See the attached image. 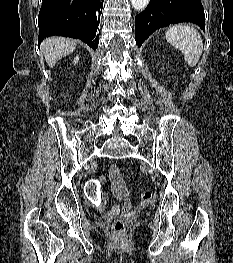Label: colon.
I'll use <instances>...</instances> for the list:
<instances>
[{
	"instance_id": "colon-1",
	"label": "colon",
	"mask_w": 233,
	"mask_h": 263,
	"mask_svg": "<svg viewBox=\"0 0 233 263\" xmlns=\"http://www.w3.org/2000/svg\"><path fill=\"white\" fill-rule=\"evenodd\" d=\"M100 182L97 178H92L90 182L85 183V199H88L91 205H96L100 202L103 195V190H100ZM152 194L150 191H143L140 194V198L144 204L150 202ZM125 231V224L122 220L114 221L112 225V232L116 237L121 236Z\"/></svg>"
}]
</instances>
